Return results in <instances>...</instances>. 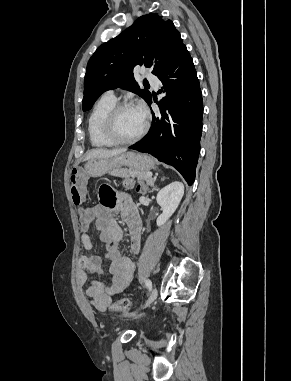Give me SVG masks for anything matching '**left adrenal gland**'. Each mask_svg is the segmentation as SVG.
<instances>
[{
  "mask_svg": "<svg viewBox=\"0 0 291 381\" xmlns=\"http://www.w3.org/2000/svg\"><path fill=\"white\" fill-rule=\"evenodd\" d=\"M155 181V179H154ZM151 187H152V191L156 189V187L154 186V182L151 184Z\"/></svg>",
  "mask_w": 291,
  "mask_h": 381,
  "instance_id": "1",
  "label": "left adrenal gland"
}]
</instances>
